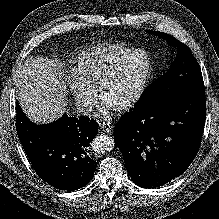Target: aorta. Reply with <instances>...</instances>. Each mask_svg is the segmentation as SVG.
Here are the masks:
<instances>
[{
    "instance_id": "762f6f07",
    "label": "aorta",
    "mask_w": 219,
    "mask_h": 219,
    "mask_svg": "<svg viewBox=\"0 0 219 219\" xmlns=\"http://www.w3.org/2000/svg\"><path fill=\"white\" fill-rule=\"evenodd\" d=\"M91 146L97 153H106L113 150L115 142L114 139L107 135H100L92 140Z\"/></svg>"
}]
</instances>
